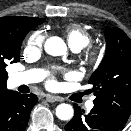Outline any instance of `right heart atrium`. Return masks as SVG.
<instances>
[{
    "mask_svg": "<svg viewBox=\"0 0 131 131\" xmlns=\"http://www.w3.org/2000/svg\"><path fill=\"white\" fill-rule=\"evenodd\" d=\"M45 41V33L42 30L34 31L31 33L25 42V52L31 54L38 52Z\"/></svg>",
    "mask_w": 131,
    "mask_h": 131,
    "instance_id": "1",
    "label": "right heart atrium"
}]
</instances>
